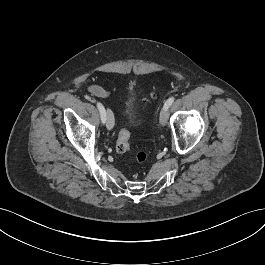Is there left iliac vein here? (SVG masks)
Masks as SVG:
<instances>
[{"instance_id":"4c4485c4","label":"left iliac vein","mask_w":265,"mask_h":265,"mask_svg":"<svg viewBox=\"0 0 265 265\" xmlns=\"http://www.w3.org/2000/svg\"><path fill=\"white\" fill-rule=\"evenodd\" d=\"M168 121V109L163 107L160 112V123L162 126H165Z\"/></svg>"}]
</instances>
